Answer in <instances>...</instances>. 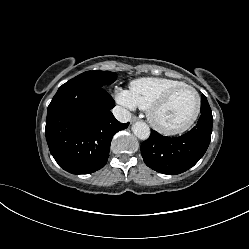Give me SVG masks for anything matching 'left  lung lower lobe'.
Returning a JSON list of instances; mask_svg holds the SVG:
<instances>
[{
    "mask_svg": "<svg viewBox=\"0 0 249 249\" xmlns=\"http://www.w3.org/2000/svg\"><path fill=\"white\" fill-rule=\"evenodd\" d=\"M212 113L202 114L197 125L180 137H166L151 130L141 144L145 164L157 172L175 175L194 166L205 154L212 133Z\"/></svg>",
    "mask_w": 249,
    "mask_h": 249,
    "instance_id": "obj_1",
    "label": "left lung lower lobe"
}]
</instances>
